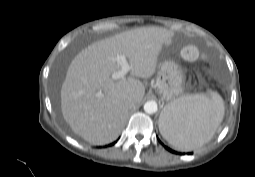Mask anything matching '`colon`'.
<instances>
[{
  "mask_svg": "<svg viewBox=\"0 0 255 177\" xmlns=\"http://www.w3.org/2000/svg\"><path fill=\"white\" fill-rule=\"evenodd\" d=\"M183 57L187 60L193 61L197 59L205 60L206 55L200 54L197 49L193 46H188L183 49L182 51Z\"/></svg>",
  "mask_w": 255,
  "mask_h": 177,
  "instance_id": "obj_1",
  "label": "colon"
}]
</instances>
